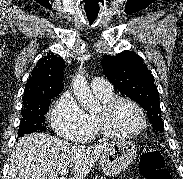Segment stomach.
Listing matches in <instances>:
<instances>
[{
    "mask_svg": "<svg viewBox=\"0 0 183 179\" xmlns=\"http://www.w3.org/2000/svg\"><path fill=\"white\" fill-rule=\"evenodd\" d=\"M136 153V146L130 141L111 142L99 158L100 167L107 176H116L131 165Z\"/></svg>",
    "mask_w": 183,
    "mask_h": 179,
    "instance_id": "1",
    "label": "stomach"
}]
</instances>
